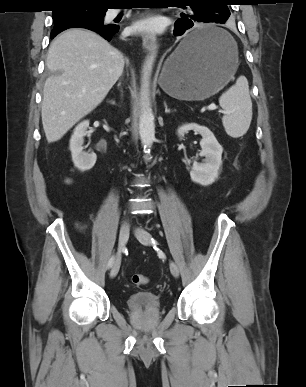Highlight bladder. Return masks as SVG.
Here are the masks:
<instances>
[{
  "mask_svg": "<svg viewBox=\"0 0 306 387\" xmlns=\"http://www.w3.org/2000/svg\"><path fill=\"white\" fill-rule=\"evenodd\" d=\"M126 306L131 312L156 313L161 310V301L152 292L137 291L127 297Z\"/></svg>",
  "mask_w": 306,
  "mask_h": 387,
  "instance_id": "bladder-1",
  "label": "bladder"
}]
</instances>
